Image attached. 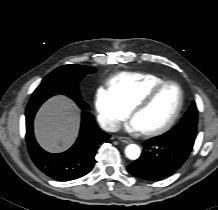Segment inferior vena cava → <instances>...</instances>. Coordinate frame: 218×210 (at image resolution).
I'll return each instance as SVG.
<instances>
[{
	"instance_id": "602c4592",
	"label": "inferior vena cava",
	"mask_w": 218,
	"mask_h": 210,
	"mask_svg": "<svg viewBox=\"0 0 218 210\" xmlns=\"http://www.w3.org/2000/svg\"><path fill=\"white\" fill-rule=\"evenodd\" d=\"M100 126L103 130L108 132H117L121 128L119 121L103 120L100 122Z\"/></svg>"
}]
</instances>
